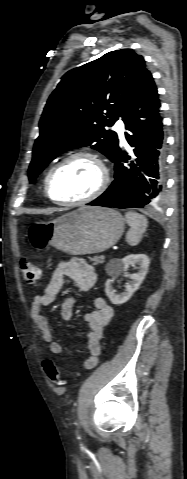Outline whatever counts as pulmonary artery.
I'll use <instances>...</instances> for the list:
<instances>
[{"label": "pulmonary artery", "instance_id": "1", "mask_svg": "<svg viewBox=\"0 0 187 479\" xmlns=\"http://www.w3.org/2000/svg\"><path fill=\"white\" fill-rule=\"evenodd\" d=\"M114 129L119 133L121 139L123 142H125L124 139V123L121 120H118L114 126Z\"/></svg>", "mask_w": 187, "mask_h": 479}]
</instances>
